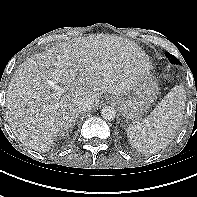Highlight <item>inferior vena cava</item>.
Returning a JSON list of instances; mask_svg holds the SVG:
<instances>
[{"label":"inferior vena cava","mask_w":197,"mask_h":197,"mask_svg":"<svg viewBox=\"0 0 197 197\" xmlns=\"http://www.w3.org/2000/svg\"><path fill=\"white\" fill-rule=\"evenodd\" d=\"M92 101L90 99H81L77 103V111L78 113H83L92 108Z\"/></svg>","instance_id":"602c4592"}]
</instances>
